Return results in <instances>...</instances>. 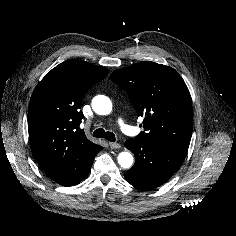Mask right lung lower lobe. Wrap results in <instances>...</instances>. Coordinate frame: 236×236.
Here are the masks:
<instances>
[{
  "label": "right lung lower lobe",
  "instance_id": "98d812e1",
  "mask_svg": "<svg viewBox=\"0 0 236 236\" xmlns=\"http://www.w3.org/2000/svg\"><path fill=\"white\" fill-rule=\"evenodd\" d=\"M79 156L66 163L45 169L46 175L63 186H71L80 182L90 172L95 155Z\"/></svg>",
  "mask_w": 236,
  "mask_h": 236
}]
</instances>
